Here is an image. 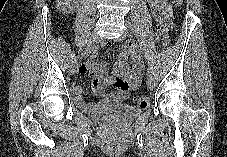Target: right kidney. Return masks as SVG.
<instances>
[{
    "label": "right kidney",
    "mask_w": 227,
    "mask_h": 157,
    "mask_svg": "<svg viewBox=\"0 0 227 157\" xmlns=\"http://www.w3.org/2000/svg\"><path fill=\"white\" fill-rule=\"evenodd\" d=\"M57 2H61V1H57ZM62 10H63V11H66V9L64 8V6L62 7Z\"/></svg>",
    "instance_id": "right-kidney-1"
}]
</instances>
